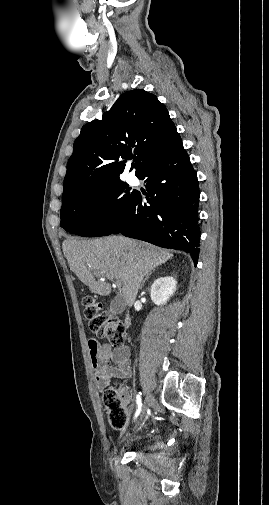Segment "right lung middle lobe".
Returning a JSON list of instances; mask_svg holds the SVG:
<instances>
[{
  "mask_svg": "<svg viewBox=\"0 0 269 505\" xmlns=\"http://www.w3.org/2000/svg\"><path fill=\"white\" fill-rule=\"evenodd\" d=\"M135 194L121 180L83 190L62 202L60 226L84 237L109 235L121 223Z\"/></svg>",
  "mask_w": 269,
  "mask_h": 505,
  "instance_id": "obj_1",
  "label": "right lung middle lobe"
}]
</instances>
